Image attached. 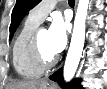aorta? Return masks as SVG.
I'll use <instances>...</instances> for the list:
<instances>
[{
    "label": "aorta",
    "instance_id": "obj_1",
    "mask_svg": "<svg viewBox=\"0 0 107 89\" xmlns=\"http://www.w3.org/2000/svg\"><path fill=\"white\" fill-rule=\"evenodd\" d=\"M89 0H79L77 12L74 19L73 33L70 47L67 53L63 76L66 82L70 81L77 70L85 41L86 17Z\"/></svg>",
    "mask_w": 107,
    "mask_h": 89
}]
</instances>
